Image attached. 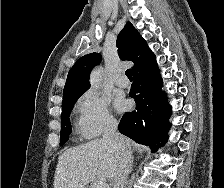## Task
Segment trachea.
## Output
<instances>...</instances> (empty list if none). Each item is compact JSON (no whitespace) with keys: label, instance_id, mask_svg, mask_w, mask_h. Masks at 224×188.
<instances>
[{"label":"trachea","instance_id":"3493384b","mask_svg":"<svg viewBox=\"0 0 224 188\" xmlns=\"http://www.w3.org/2000/svg\"><path fill=\"white\" fill-rule=\"evenodd\" d=\"M125 73L129 79H132V70L131 69H127Z\"/></svg>","mask_w":224,"mask_h":188}]
</instances>
